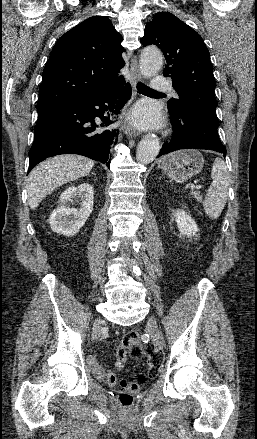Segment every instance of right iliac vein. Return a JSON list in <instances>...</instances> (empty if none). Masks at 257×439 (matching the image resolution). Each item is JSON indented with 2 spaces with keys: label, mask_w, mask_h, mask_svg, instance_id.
Returning <instances> with one entry per match:
<instances>
[{
  "label": "right iliac vein",
  "mask_w": 257,
  "mask_h": 439,
  "mask_svg": "<svg viewBox=\"0 0 257 439\" xmlns=\"http://www.w3.org/2000/svg\"><path fill=\"white\" fill-rule=\"evenodd\" d=\"M99 325H100V320H97L96 323H95V327L98 328Z\"/></svg>",
  "instance_id": "right-iliac-vein-1"
}]
</instances>
